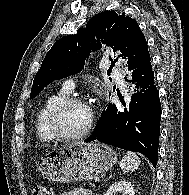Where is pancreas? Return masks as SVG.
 I'll return each instance as SVG.
<instances>
[{
  "mask_svg": "<svg viewBox=\"0 0 189 195\" xmlns=\"http://www.w3.org/2000/svg\"><path fill=\"white\" fill-rule=\"evenodd\" d=\"M92 187H94V188H95V185L93 184V185H92Z\"/></svg>",
  "mask_w": 189,
  "mask_h": 195,
  "instance_id": "obj_1",
  "label": "pancreas"
}]
</instances>
